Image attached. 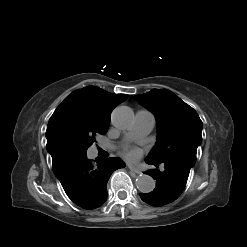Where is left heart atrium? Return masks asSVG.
Masks as SVG:
<instances>
[{
  "label": "left heart atrium",
  "instance_id": "left-heart-atrium-1",
  "mask_svg": "<svg viewBox=\"0 0 247 247\" xmlns=\"http://www.w3.org/2000/svg\"><path fill=\"white\" fill-rule=\"evenodd\" d=\"M140 153L137 149H128L125 151V156L130 160H136Z\"/></svg>",
  "mask_w": 247,
  "mask_h": 247
}]
</instances>
